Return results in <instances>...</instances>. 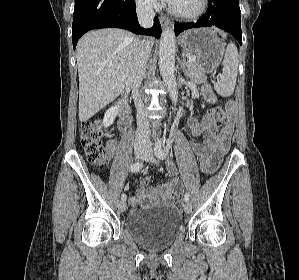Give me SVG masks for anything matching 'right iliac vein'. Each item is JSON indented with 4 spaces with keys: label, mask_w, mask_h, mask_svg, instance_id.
Wrapping results in <instances>:
<instances>
[{
    "label": "right iliac vein",
    "mask_w": 299,
    "mask_h": 280,
    "mask_svg": "<svg viewBox=\"0 0 299 280\" xmlns=\"http://www.w3.org/2000/svg\"><path fill=\"white\" fill-rule=\"evenodd\" d=\"M145 155V151H144V149H141V148H137L136 150H135V156L137 157V158H142L143 156ZM119 210L121 211V212H124L125 210H126V208H127V204H126V202H125V200H121L120 202H119Z\"/></svg>",
    "instance_id": "right-iliac-vein-1"
}]
</instances>
